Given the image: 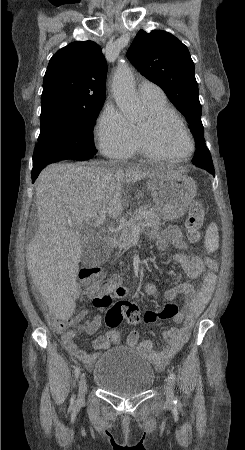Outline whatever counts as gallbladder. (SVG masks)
Here are the masks:
<instances>
[{"mask_svg": "<svg viewBox=\"0 0 245 450\" xmlns=\"http://www.w3.org/2000/svg\"><path fill=\"white\" fill-rule=\"evenodd\" d=\"M81 247V261L86 265L105 261L109 253V248L102 240L91 239L87 236L82 237Z\"/></svg>", "mask_w": 245, "mask_h": 450, "instance_id": "gallbladder-1", "label": "gallbladder"}]
</instances>
